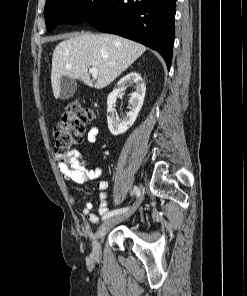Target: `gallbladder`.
Returning <instances> with one entry per match:
<instances>
[{
    "label": "gallbladder",
    "mask_w": 247,
    "mask_h": 296,
    "mask_svg": "<svg viewBox=\"0 0 247 296\" xmlns=\"http://www.w3.org/2000/svg\"><path fill=\"white\" fill-rule=\"evenodd\" d=\"M76 88V82L72 78L63 76L60 81V99L66 100L71 98Z\"/></svg>",
    "instance_id": "1"
}]
</instances>
